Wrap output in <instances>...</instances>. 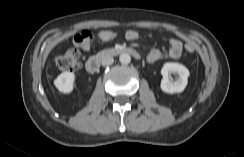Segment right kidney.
<instances>
[{
	"label": "right kidney",
	"mask_w": 244,
	"mask_h": 157,
	"mask_svg": "<svg viewBox=\"0 0 244 157\" xmlns=\"http://www.w3.org/2000/svg\"><path fill=\"white\" fill-rule=\"evenodd\" d=\"M75 75L72 72H63L54 80V85L59 92L69 94L74 89Z\"/></svg>",
	"instance_id": "obj_1"
}]
</instances>
